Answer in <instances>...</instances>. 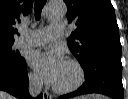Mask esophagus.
Wrapping results in <instances>:
<instances>
[{
	"label": "esophagus",
	"mask_w": 128,
	"mask_h": 99,
	"mask_svg": "<svg viewBox=\"0 0 128 99\" xmlns=\"http://www.w3.org/2000/svg\"><path fill=\"white\" fill-rule=\"evenodd\" d=\"M43 98L44 99H52V96L47 91H44L43 92Z\"/></svg>",
	"instance_id": "34e87169"
}]
</instances>
